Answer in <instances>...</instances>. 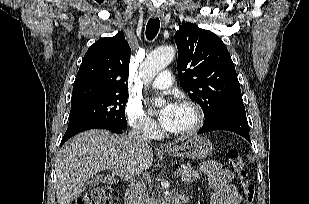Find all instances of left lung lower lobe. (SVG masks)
Segmentation results:
<instances>
[{
	"label": "left lung lower lobe",
	"instance_id": "1",
	"mask_svg": "<svg viewBox=\"0 0 309 204\" xmlns=\"http://www.w3.org/2000/svg\"><path fill=\"white\" fill-rule=\"evenodd\" d=\"M215 130L232 131L251 142L244 105L229 106L205 118L204 126L198 134Z\"/></svg>",
	"mask_w": 309,
	"mask_h": 204
}]
</instances>
